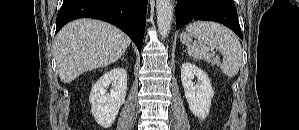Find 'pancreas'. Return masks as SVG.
Instances as JSON below:
<instances>
[{
    "label": "pancreas",
    "mask_w": 299,
    "mask_h": 130,
    "mask_svg": "<svg viewBox=\"0 0 299 130\" xmlns=\"http://www.w3.org/2000/svg\"><path fill=\"white\" fill-rule=\"evenodd\" d=\"M211 64L212 65L219 64V59L218 58H214L213 60H211Z\"/></svg>",
    "instance_id": "pancreas-1"
}]
</instances>
